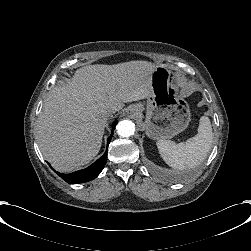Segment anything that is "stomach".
Returning <instances> with one entry per match:
<instances>
[{"mask_svg": "<svg viewBox=\"0 0 251 251\" xmlns=\"http://www.w3.org/2000/svg\"><path fill=\"white\" fill-rule=\"evenodd\" d=\"M152 95L147 98L145 121L144 105L132 114L141 122L146 135L154 140H166L184 131L191 120L189 104L177 95L175 74L157 66L152 73ZM132 105L129 110H132Z\"/></svg>", "mask_w": 251, "mask_h": 251, "instance_id": "1", "label": "stomach"}]
</instances>
